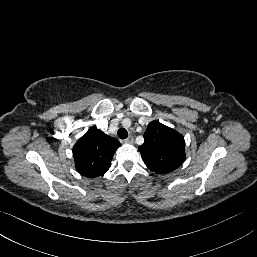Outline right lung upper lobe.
Masks as SVG:
<instances>
[{"instance_id":"obj_1","label":"right lung upper lobe","mask_w":257,"mask_h":257,"mask_svg":"<svg viewBox=\"0 0 257 257\" xmlns=\"http://www.w3.org/2000/svg\"><path fill=\"white\" fill-rule=\"evenodd\" d=\"M120 146L116 139L95 126L91 127L73 147L77 171L88 178L105 174L111 166L116 149Z\"/></svg>"}]
</instances>
